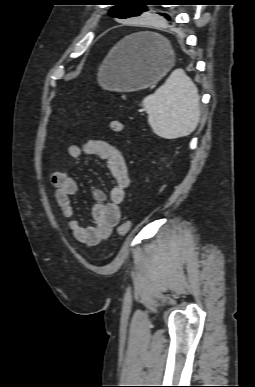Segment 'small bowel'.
Returning a JSON list of instances; mask_svg holds the SVG:
<instances>
[{"label": "small bowel", "instance_id": "small-bowel-1", "mask_svg": "<svg viewBox=\"0 0 255 387\" xmlns=\"http://www.w3.org/2000/svg\"><path fill=\"white\" fill-rule=\"evenodd\" d=\"M67 153L75 160L91 155L106 160L108 170L114 179L108 202L102 190L93 191L95 200L91 210L93 225L83 226L75 217L72 203V197L78 192L77 181L69 174L60 171H55L50 176L55 201L62 216L67 220L74 238L82 244L95 246L107 240L120 222V205L125 199L126 189L130 184L128 167L122 149L105 140H88L82 145H70Z\"/></svg>", "mask_w": 255, "mask_h": 387}]
</instances>
